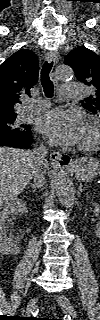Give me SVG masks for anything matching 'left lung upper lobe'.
Here are the masks:
<instances>
[{
    "mask_svg": "<svg viewBox=\"0 0 100 320\" xmlns=\"http://www.w3.org/2000/svg\"><path fill=\"white\" fill-rule=\"evenodd\" d=\"M65 64L73 68L79 81L93 89L92 95L82 101L83 107L100 115V57L85 47H78L66 56Z\"/></svg>",
    "mask_w": 100,
    "mask_h": 320,
    "instance_id": "obj_1",
    "label": "left lung upper lobe"
}]
</instances>
